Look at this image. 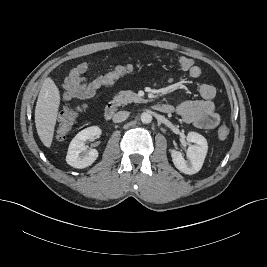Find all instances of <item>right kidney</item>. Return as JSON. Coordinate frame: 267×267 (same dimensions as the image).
Instances as JSON below:
<instances>
[{"label": "right kidney", "instance_id": "ca27d5eb", "mask_svg": "<svg viewBox=\"0 0 267 267\" xmlns=\"http://www.w3.org/2000/svg\"><path fill=\"white\" fill-rule=\"evenodd\" d=\"M101 135V129L98 126L88 127L80 131L71 141L66 162L78 169L86 168L90 166L98 157V151L96 149H90L88 151L85 142L87 140H93L95 137ZM87 152L85 156H81L80 153Z\"/></svg>", "mask_w": 267, "mask_h": 267}]
</instances>
